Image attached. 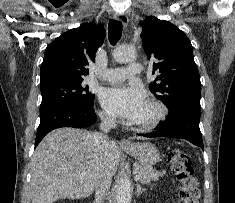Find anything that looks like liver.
<instances>
[{"mask_svg": "<svg viewBox=\"0 0 235 203\" xmlns=\"http://www.w3.org/2000/svg\"><path fill=\"white\" fill-rule=\"evenodd\" d=\"M95 135L65 127L45 136L31 160L32 203L86 198L96 188L104 166L111 176L115 175L120 161L119 147L109 141L108 146L102 148Z\"/></svg>", "mask_w": 235, "mask_h": 203, "instance_id": "6515ba94", "label": "liver"}]
</instances>
